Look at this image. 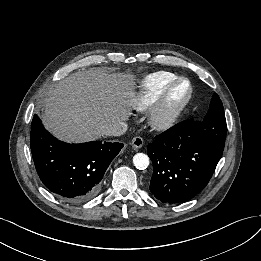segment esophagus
<instances>
[{
	"mask_svg": "<svg viewBox=\"0 0 261 261\" xmlns=\"http://www.w3.org/2000/svg\"><path fill=\"white\" fill-rule=\"evenodd\" d=\"M132 147L135 149H139L143 146L144 141L140 136H136L131 141Z\"/></svg>",
	"mask_w": 261,
	"mask_h": 261,
	"instance_id": "esophagus-1",
	"label": "esophagus"
}]
</instances>
